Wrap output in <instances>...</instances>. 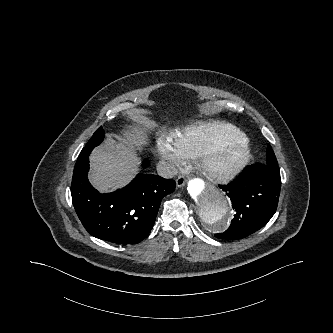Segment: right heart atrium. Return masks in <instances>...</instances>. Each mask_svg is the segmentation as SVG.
I'll list each match as a JSON object with an SVG mask.
<instances>
[{
  "label": "right heart atrium",
  "instance_id": "right-heart-atrium-1",
  "mask_svg": "<svg viewBox=\"0 0 333 333\" xmlns=\"http://www.w3.org/2000/svg\"><path fill=\"white\" fill-rule=\"evenodd\" d=\"M156 151L158 156L170 166L172 171L181 169L186 162V158L178 149L173 140L160 136L156 140Z\"/></svg>",
  "mask_w": 333,
  "mask_h": 333
}]
</instances>
